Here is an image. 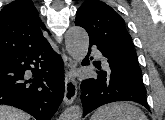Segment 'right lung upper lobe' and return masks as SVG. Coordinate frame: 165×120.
Listing matches in <instances>:
<instances>
[{
  "label": "right lung upper lobe",
  "instance_id": "cb5924a9",
  "mask_svg": "<svg viewBox=\"0 0 165 120\" xmlns=\"http://www.w3.org/2000/svg\"><path fill=\"white\" fill-rule=\"evenodd\" d=\"M44 24L31 0H15L0 11V59L46 42Z\"/></svg>",
  "mask_w": 165,
  "mask_h": 120
}]
</instances>
